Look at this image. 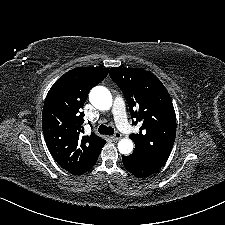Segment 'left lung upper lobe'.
Returning <instances> with one entry per match:
<instances>
[{"instance_id": "1", "label": "left lung upper lobe", "mask_w": 225, "mask_h": 225, "mask_svg": "<svg viewBox=\"0 0 225 225\" xmlns=\"http://www.w3.org/2000/svg\"><path fill=\"white\" fill-rule=\"evenodd\" d=\"M110 77L121 88L129 105L133 125L142 122L139 134H131L133 156L163 166L176 136V115L171 97L161 81L140 68L110 69Z\"/></svg>"}]
</instances>
